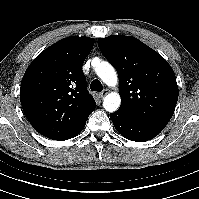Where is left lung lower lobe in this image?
<instances>
[{"mask_svg":"<svg viewBox=\"0 0 199 199\" xmlns=\"http://www.w3.org/2000/svg\"><path fill=\"white\" fill-rule=\"evenodd\" d=\"M116 130L125 138L144 142L157 136L163 128L141 121L131 116L128 112L118 109L110 114Z\"/></svg>","mask_w":199,"mask_h":199,"instance_id":"obj_1","label":"left lung lower lobe"}]
</instances>
